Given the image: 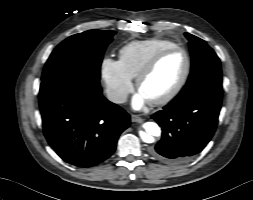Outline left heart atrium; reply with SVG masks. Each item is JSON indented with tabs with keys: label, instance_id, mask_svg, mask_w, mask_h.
<instances>
[{
	"label": "left heart atrium",
	"instance_id": "39dd6f15",
	"mask_svg": "<svg viewBox=\"0 0 253 200\" xmlns=\"http://www.w3.org/2000/svg\"><path fill=\"white\" fill-rule=\"evenodd\" d=\"M150 101L138 90L132 100V106L136 110L143 109Z\"/></svg>",
	"mask_w": 253,
	"mask_h": 200
}]
</instances>
